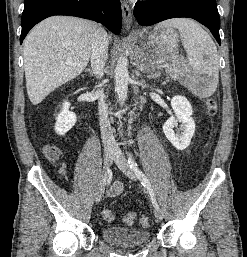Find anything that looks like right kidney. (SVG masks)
Returning a JSON list of instances; mask_svg holds the SVG:
<instances>
[{
  "label": "right kidney",
  "instance_id": "ca27d5eb",
  "mask_svg": "<svg viewBox=\"0 0 247 257\" xmlns=\"http://www.w3.org/2000/svg\"><path fill=\"white\" fill-rule=\"evenodd\" d=\"M70 103L65 101L62 111L56 117L55 132L58 135H65L76 123V114L69 111Z\"/></svg>",
  "mask_w": 247,
  "mask_h": 257
}]
</instances>
